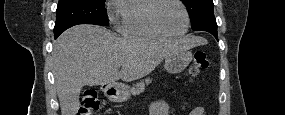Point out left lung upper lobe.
Wrapping results in <instances>:
<instances>
[{"instance_id": "1", "label": "left lung upper lobe", "mask_w": 285, "mask_h": 115, "mask_svg": "<svg viewBox=\"0 0 285 115\" xmlns=\"http://www.w3.org/2000/svg\"><path fill=\"white\" fill-rule=\"evenodd\" d=\"M187 7L192 29L197 31L205 23L216 21L212 0H182Z\"/></svg>"}]
</instances>
